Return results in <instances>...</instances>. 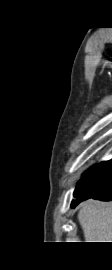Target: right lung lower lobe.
<instances>
[{"instance_id":"98d812e1","label":"right lung lower lobe","mask_w":112,"mask_h":270,"mask_svg":"<svg viewBox=\"0 0 112 270\" xmlns=\"http://www.w3.org/2000/svg\"><path fill=\"white\" fill-rule=\"evenodd\" d=\"M83 194L72 201L71 207L89 198L112 201V162L106 161L81 181Z\"/></svg>"}]
</instances>
